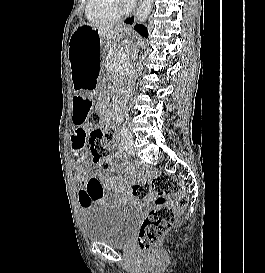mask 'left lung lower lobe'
Here are the masks:
<instances>
[{
	"instance_id": "0a47b994",
	"label": "left lung lower lobe",
	"mask_w": 265,
	"mask_h": 273,
	"mask_svg": "<svg viewBox=\"0 0 265 273\" xmlns=\"http://www.w3.org/2000/svg\"><path fill=\"white\" fill-rule=\"evenodd\" d=\"M135 30L137 32H139L141 35L147 37L148 36V33H147V29L143 26V25H136L135 26Z\"/></svg>"
}]
</instances>
